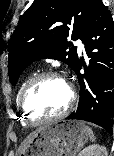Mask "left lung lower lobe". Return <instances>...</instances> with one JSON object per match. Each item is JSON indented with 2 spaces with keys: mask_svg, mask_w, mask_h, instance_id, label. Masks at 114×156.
Segmentation results:
<instances>
[{
  "mask_svg": "<svg viewBox=\"0 0 114 156\" xmlns=\"http://www.w3.org/2000/svg\"><path fill=\"white\" fill-rule=\"evenodd\" d=\"M90 57L88 66L77 62L74 69L80 84L78 108L67 119L85 120L112 134L114 118V21L100 0L81 38ZM81 66L85 73L81 74Z\"/></svg>",
  "mask_w": 114,
  "mask_h": 156,
  "instance_id": "left-lung-lower-lobe-1",
  "label": "left lung lower lobe"
}]
</instances>
